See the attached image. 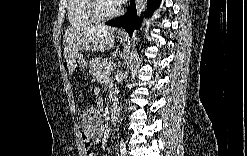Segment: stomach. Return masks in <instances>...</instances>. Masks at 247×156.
Masks as SVG:
<instances>
[{"mask_svg":"<svg viewBox=\"0 0 247 156\" xmlns=\"http://www.w3.org/2000/svg\"><path fill=\"white\" fill-rule=\"evenodd\" d=\"M118 38L120 39L121 42H123L125 39L123 36L119 35ZM77 62L79 64L80 67H85L87 66L88 62L81 56H77ZM100 61L98 59H94L91 61L90 63V68L95 67Z\"/></svg>","mask_w":247,"mask_h":156,"instance_id":"1","label":"stomach"}]
</instances>
